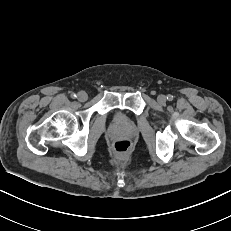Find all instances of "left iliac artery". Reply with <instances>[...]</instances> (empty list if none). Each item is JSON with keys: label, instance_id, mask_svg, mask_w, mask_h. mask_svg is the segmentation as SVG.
I'll list each match as a JSON object with an SVG mask.
<instances>
[{"label": "left iliac artery", "instance_id": "44dca946", "mask_svg": "<svg viewBox=\"0 0 231 231\" xmlns=\"http://www.w3.org/2000/svg\"><path fill=\"white\" fill-rule=\"evenodd\" d=\"M167 99H168L169 101H171V100H173V96L169 94V95L167 96Z\"/></svg>", "mask_w": 231, "mask_h": 231}]
</instances>
